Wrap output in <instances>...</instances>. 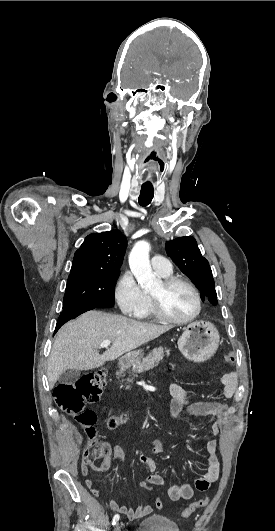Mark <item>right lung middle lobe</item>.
I'll use <instances>...</instances> for the list:
<instances>
[{
    "label": "right lung middle lobe",
    "mask_w": 275,
    "mask_h": 531,
    "mask_svg": "<svg viewBox=\"0 0 275 531\" xmlns=\"http://www.w3.org/2000/svg\"><path fill=\"white\" fill-rule=\"evenodd\" d=\"M120 272H86L69 275L63 309L70 307L111 308Z\"/></svg>",
    "instance_id": "right-lung-middle-lobe-1"
}]
</instances>
